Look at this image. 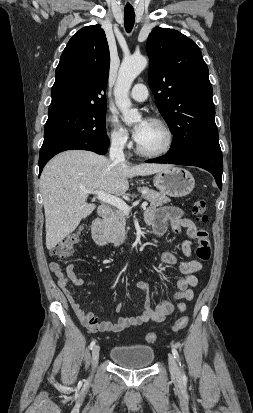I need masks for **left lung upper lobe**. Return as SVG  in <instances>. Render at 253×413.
<instances>
[{
    "label": "left lung upper lobe",
    "mask_w": 253,
    "mask_h": 413,
    "mask_svg": "<svg viewBox=\"0 0 253 413\" xmlns=\"http://www.w3.org/2000/svg\"><path fill=\"white\" fill-rule=\"evenodd\" d=\"M147 54L148 83L174 136L169 153L221 149L208 67L196 43L177 30L155 27Z\"/></svg>",
    "instance_id": "obj_1"
}]
</instances>
